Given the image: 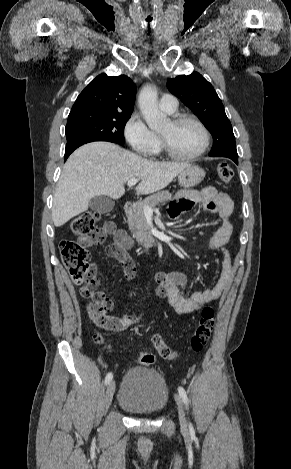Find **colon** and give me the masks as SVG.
<instances>
[{
  "mask_svg": "<svg viewBox=\"0 0 291 469\" xmlns=\"http://www.w3.org/2000/svg\"><path fill=\"white\" fill-rule=\"evenodd\" d=\"M219 179L228 184L234 177L233 169L226 163L218 166ZM100 214L97 212H84L76 216L70 230L78 236L77 240H64L61 243V256L72 281L81 286L80 293L89 299L88 313L93 323L100 329H109L112 326V317L109 312L113 302L102 291L97 289L98 275L90 263V254L87 247L97 241L101 231L96 229ZM107 251L112 256L121 259L123 272L126 278L135 274V265L122 250L115 244H110ZM215 323L214 311L206 307L202 310L198 323L190 340V347L194 352H200L208 343ZM98 343L102 342L100 335L95 336ZM152 344L158 355L164 360H173L175 352L163 340L160 334H154ZM156 361V355L151 352H141L139 362L143 366H150Z\"/></svg>",
  "mask_w": 291,
  "mask_h": 469,
  "instance_id": "1",
  "label": "colon"
}]
</instances>
